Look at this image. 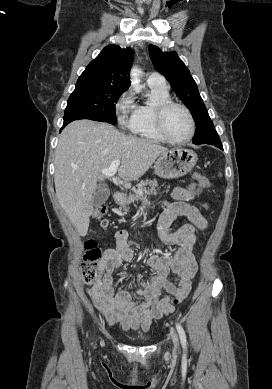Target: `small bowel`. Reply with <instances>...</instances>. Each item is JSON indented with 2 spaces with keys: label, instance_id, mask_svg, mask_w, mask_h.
Segmentation results:
<instances>
[{
  "label": "small bowel",
  "instance_id": "obj_1",
  "mask_svg": "<svg viewBox=\"0 0 272 389\" xmlns=\"http://www.w3.org/2000/svg\"><path fill=\"white\" fill-rule=\"evenodd\" d=\"M172 197L173 202L164 204L158 232L163 242L179 248L171 257L153 254L148 258V265L156 271L149 280L134 284L132 289L113 288V274L123 263L134 258L124 231L115 235L114 247L105 251L99 263L98 276L88 294L110 326L119 324L126 332H147L155 320L173 311L174 298L184 300L190 292L191 280L198 270L193 254L195 232L204 230L207 220L196 206L189 203L196 198L193 190L177 187ZM182 216L189 222L170 232L171 224ZM170 273L174 275L176 283L168 280ZM163 291L167 294L162 295Z\"/></svg>",
  "mask_w": 272,
  "mask_h": 389
}]
</instances>
